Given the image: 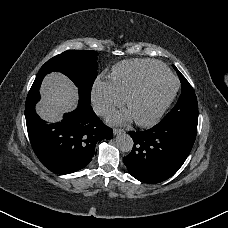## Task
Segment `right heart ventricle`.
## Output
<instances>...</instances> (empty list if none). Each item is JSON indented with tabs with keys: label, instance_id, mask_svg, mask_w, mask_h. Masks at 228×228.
Returning <instances> with one entry per match:
<instances>
[{
	"label": "right heart ventricle",
	"instance_id": "e07e8e85",
	"mask_svg": "<svg viewBox=\"0 0 228 228\" xmlns=\"http://www.w3.org/2000/svg\"><path fill=\"white\" fill-rule=\"evenodd\" d=\"M169 70L158 62L125 61L116 65L110 75V81L123 98L147 78L168 74Z\"/></svg>",
	"mask_w": 228,
	"mask_h": 228
}]
</instances>
